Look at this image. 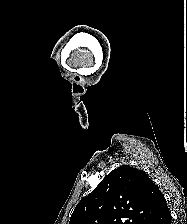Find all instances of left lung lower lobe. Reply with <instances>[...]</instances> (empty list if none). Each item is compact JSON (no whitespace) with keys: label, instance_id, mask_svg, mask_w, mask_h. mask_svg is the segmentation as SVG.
I'll return each instance as SVG.
<instances>
[{"label":"left lung lower lobe","instance_id":"left-lung-lower-lobe-1","mask_svg":"<svg viewBox=\"0 0 187 224\" xmlns=\"http://www.w3.org/2000/svg\"><path fill=\"white\" fill-rule=\"evenodd\" d=\"M171 221H172V216L168 209L165 198L162 197L160 206L157 212L155 213L154 217L149 222V224H171Z\"/></svg>","mask_w":187,"mask_h":224}]
</instances>
